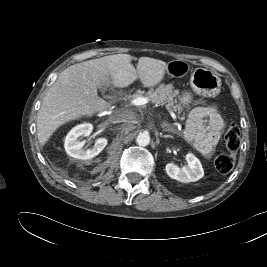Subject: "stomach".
Here are the masks:
<instances>
[{"instance_id": "1", "label": "stomach", "mask_w": 267, "mask_h": 267, "mask_svg": "<svg viewBox=\"0 0 267 267\" xmlns=\"http://www.w3.org/2000/svg\"><path fill=\"white\" fill-rule=\"evenodd\" d=\"M190 71L189 65L180 60L172 61L167 65V72L172 76L183 77ZM190 85L197 95L216 97L221 91L220 77L205 68H196L192 71Z\"/></svg>"}]
</instances>
